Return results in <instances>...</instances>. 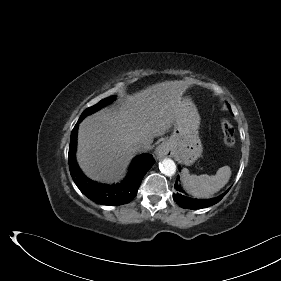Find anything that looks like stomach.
I'll list each match as a JSON object with an SVG mask.
<instances>
[{
	"instance_id": "obj_1",
	"label": "stomach",
	"mask_w": 281,
	"mask_h": 281,
	"mask_svg": "<svg viewBox=\"0 0 281 281\" xmlns=\"http://www.w3.org/2000/svg\"><path fill=\"white\" fill-rule=\"evenodd\" d=\"M181 112L171 136L165 141L171 153L183 164L192 165L202 154L199 138L200 116L190 98H181Z\"/></svg>"
}]
</instances>
